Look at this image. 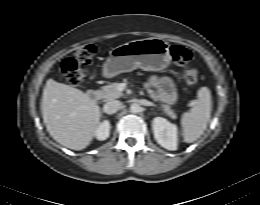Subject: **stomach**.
Listing matches in <instances>:
<instances>
[{
  "instance_id": "0dacf381",
  "label": "stomach",
  "mask_w": 260,
  "mask_h": 205,
  "mask_svg": "<svg viewBox=\"0 0 260 205\" xmlns=\"http://www.w3.org/2000/svg\"><path fill=\"white\" fill-rule=\"evenodd\" d=\"M171 60L169 44L165 40L154 37L134 40L112 49L103 74L106 78H113L136 68L160 71L167 68Z\"/></svg>"
}]
</instances>
